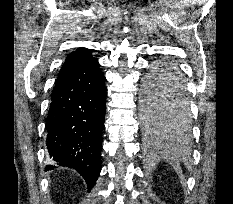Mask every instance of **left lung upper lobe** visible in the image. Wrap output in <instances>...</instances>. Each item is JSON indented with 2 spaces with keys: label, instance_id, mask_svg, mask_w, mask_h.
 <instances>
[{
  "label": "left lung upper lobe",
  "instance_id": "1",
  "mask_svg": "<svg viewBox=\"0 0 233 204\" xmlns=\"http://www.w3.org/2000/svg\"><path fill=\"white\" fill-rule=\"evenodd\" d=\"M168 63L156 66L146 81L142 92V117L144 128L167 127L187 131L191 125V111L184 81L180 86L159 82L160 69Z\"/></svg>",
  "mask_w": 233,
  "mask_h": 204
}]
</instances>
